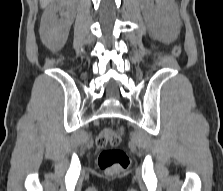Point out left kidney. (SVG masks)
I'll list each match as a JSON object with an SVG mask.
<instances>
[{
    "label": "left kidney",
    "mask_w": 223,
    "mask_h": 191,
    "mask_svg": "<svg viewBox=\"0 0 223 191\" xmlns=\"http://www.w3.org/2000/svg\"><path fill=\"white\" fill-rule=\"evenodd\" d=\"M140 6L155 38L173 41L180 31V18L173 0H140Z\"/></svg>",
    "instance_id": "1"
}]
</instances>
